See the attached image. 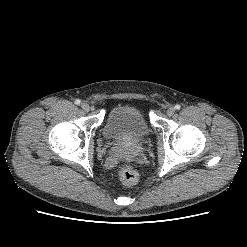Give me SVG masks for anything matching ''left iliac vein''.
<instances>
[{
  "label": "left iliac vein",
  "instance_id": "4c4485c4",
  "mask_svg": "<svg viewBox=\"0 0 247 247\" xmlns=\"http://www.w3.org/2000/svg\"><path fill=\"white\" fill-rule=\"evenodd\" d=\"M175 113V108L174 107H170L167 109V115L168 116H172Z\"/></svg>",
  "mask_w": 247,
  "mask_h": 247
}]
</instances>
